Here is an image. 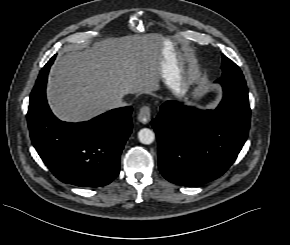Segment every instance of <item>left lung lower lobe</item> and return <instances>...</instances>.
Instances as JSON below:
<instances>
[{
    "label": "left lung lower lobe",
    "mask_w": 290,
    "mask_h": 245,
    "mask_svg": "<svg viewBox=\"0 0 290 245\" xmlns=\"http://www.w3.org/2000/svg\"><path fill=\"white\" fill-rule=\"evenodd\" d=\"M216 82L224 95L215 110L169 101L152 120L158 166L172 183L197 186L220 177L247 139L251 110L244 77L222 76Z\"/></svg>",
    "instance_id": "obj_1"
}]
</instances>
